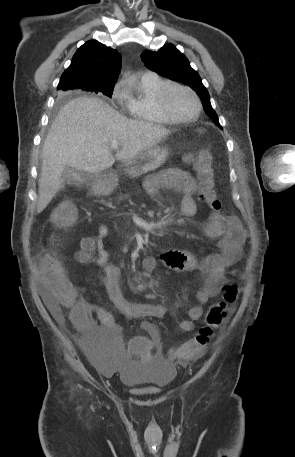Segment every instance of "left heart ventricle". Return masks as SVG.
Listing matches in <instances>:
<instances>
[{
  "label": "left heart ventricle",
  "instance_id": "obj_1",
  "mask_svg": "<svg viewBox=\"0 0 295 457\" xmlns=\"http://www.w3.org/2000/svg\"><path fill=\"white\" fill-rule=\"evenodd\" d=\"M167 105L177 117L192 116L196 110V104L192 95L186 90L172 88L167 96Z\"/></svg>",
  "mask_w": 295,
  "mask_h": 457
}]
</instances>
